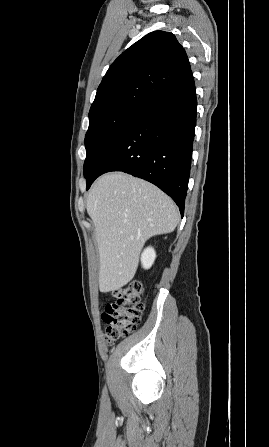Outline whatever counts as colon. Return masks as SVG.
Listing matches in <instances>:
<instances>
[{"label": "colon", "mask_w": 269, "mask_h": 447, "mask_svg": "<svg viewBox=\"0 0 269 447\" xmlns=\"http://www.w3.org/2000/svg\"><path fill=\"white\" fill-rule=\"evenodd\" d=\"M144 292V286L136 280L113 291V301L103 311L109 343L119 341L140 325L145 310Z\"/></svg>", "instance_id": "colon-1"}]
</instances>
